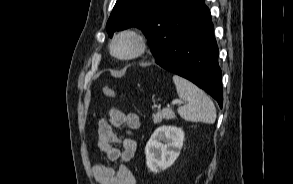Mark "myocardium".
Returning <instances> with one entry per match:
<instances>
[{
  "label": "myocardium",
  "mask_w": 293,
  "mask_h": 184,
  "mask_svg": "<svg viewBox=\"0 0 293 184\" xmlns=\"http://www.w3.org/2000/svg\"><path fill=\"white\" fill-rule=\"evenodd\" d=\"M122 37H130L135 42V49L132 53L127 55H120L115 52V44ZM109 49L111 54L119 59L124 61L134 60L142 55H144L148 49V39L146 35L136 28H125L119 31L111 40Z\"/></svg>",
  "instance_id": "f54148a6"
}]
</instances>
